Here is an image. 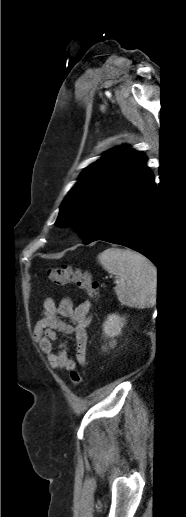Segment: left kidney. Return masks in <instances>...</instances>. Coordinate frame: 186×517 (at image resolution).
I'll use <instances>...</instances> for the list:
<instances>
[{"label": "left kidney", "mask_w": 186, "mask_h": 517, "mask_svg": "<svg viewBox=\"0 0 186 517\" xmlns=\"http://www.w3.org/2000/svg\"><path fill=\"white\" fill-rule=\"evenodd\" d=\"M125 324V318L120 317L117 314L108 315L105 323L103 324V331L105 336L108 338H114L121 334V329ZM116 342L110 343L111 347H114Z\"/></svg>", "instance_id": "left-kidney-1"}]
</instances>
